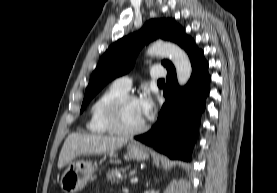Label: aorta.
Here are the masks:
<instances>
[{"label":"aorta","mask_w":277,"mask_h":193,"mask_svg":"<svg viewBox=\"0 0 277 193\" xmlns=\"http://www.w3.org/2000/svg\"><path fill=\"white\" fill-rule=\"evenodd\" d=\"M147 54L169 57L175 66L179 85L184 86L189 81L192 73L191 62L188 55L179 46L169 42H157L148 48Z\"/></svg>","instance_id":"1"}]
</instances>
